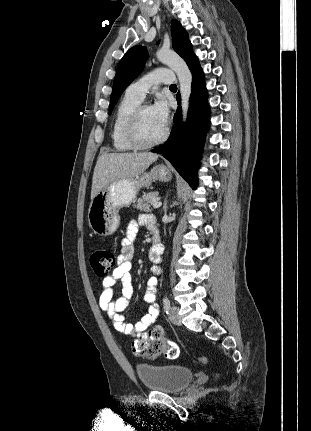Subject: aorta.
<instances>
[{
  "mask_svg": "<svg viewBox=\"0 0 311 431\" xmlns=\"http://www.w3.org/2000/svg\"><path fill=\"white\" fill-rule=\"evenodd\" d=\"M156 58L158 62L169 66L178 76L181 94L182 122H186L191 94V72L186 62H184L176 52H172V50H158V52H156Z\"/></svg>",
  "mask_w": 311,
  "mask_h": 431,
  "instance_id": "762f6f07",
  "label": "aorta"
}]
</instances>
